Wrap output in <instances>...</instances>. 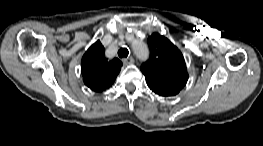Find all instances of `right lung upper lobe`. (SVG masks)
<instances>
[{
    "mask_svg": "<svg viewBox=\"0 0 263 146\" xmlns=\"http://www.w3.org/2000/svg\"><path fill=\"white\" fill-rule=\"evenodd\" d=\"M122 62L105 58V49L98 40L85 52L81 60V73L86 86L101 92L111 86L121 70Z\"/></svg>",
    "mask_w": 263,
    "mask_h": 146,
    "instance_id": "obj_1",
    "label": "right lung upper lobe"
}]
</instances>
